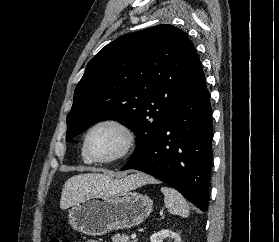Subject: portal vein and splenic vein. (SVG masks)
<instances>
[{"mask_svg":"<svg viewBox=\"0 0 279 242\" xmlns=\"http://www.w3.org/2000/svg\"><path fill=\"white\" fill-rule=\"evenodd\" d=\"M136 234L135 233H133L132 235H131V239H135L136 238Z\"/></svg>","mask_w":279,"mask_h":242,"instance_id":"portal-vein-and-splenic-vein-1","label":"portal vein and splenic vein"}]
</instances>
